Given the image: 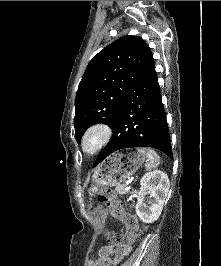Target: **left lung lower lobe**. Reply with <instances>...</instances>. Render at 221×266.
<instances>
[{"mask_svg": "<svg viewBox=\"0 0 221 266\" xmlns=\"http://www.w3.org/2000/svg\"><path fill=\"white\" fill-rule=\"evenodd\" d=\"M112 131L113 135L98 154L94 167L110 154L133 147H153L173 157L155 71L130 90L112 125Z\"/></svg>", "mask_w": 221, "mask_h": 266, "instance_id": "0a47b994", "label": "left lung lower lobe"}]
</instances>
